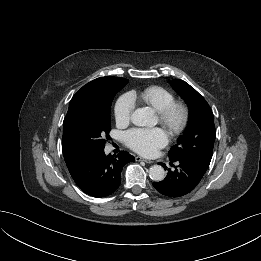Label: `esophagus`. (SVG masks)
<instances>
[{"mask_svg":"<svg viewBox=\"0 0 261 261\" xmlns=\"http://www.w3.org/2000/svg\"><path fill=\"white\" fill-rule=\"evenodd\" d=\"M135 160H136V161H144V162L147 163V164H152V163H153V161L144 159V158H142V157H140V156H136V157H135Z\"/></svg>","mask_w":261,"mask_h":261,"instance_id":"34e87169","label":"esophagus"}]
</instances>
